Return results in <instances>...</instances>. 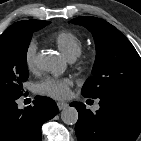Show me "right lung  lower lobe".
Returning a JSON list of instances; mask_svg holds the SVG:
<instances>
[{
  "label": "right lung lower lobe",
  "mask_w": 141,
  "mask_h": 141,
  "mask_svg": "<svg viewBox=\"0 0 141 141\" xmlns=\"http://www.w3.org/2000/svg\"><path fill=\"white\" fill-rule=\"evenodd\" d=\"M16 99H0V141H41L43 123L58 113L56 103L37 96L33 106L19 110Z\"/></svg>",
  "instance_id": "right-lung-lower-lobe-1"
}]
</instances>
